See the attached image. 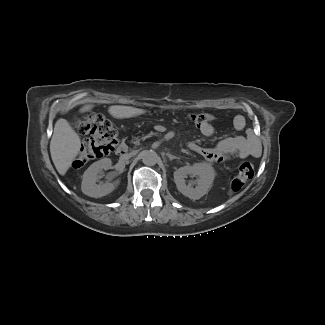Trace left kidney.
<instances>
[{
    "mask_svg": "<svg viewBox=\"0 0 325 325\" xmlns=\"http://www.w3.org/2000/svg\"><path fill=\"white\" fill-rule=\"evenodd\" d=\"M198 177L196 187L186 184L187 176ZM215 171L206 162L195 163L192 166H184L174 172V182L179 192L192 200H198L207 194L213 185Z\"/></svg>",
    "mask_w": 325,
    "mask_h": 325,
    "instance_id": "left-kidney-1",
    "label": "left kidney"
}]
</instances>
